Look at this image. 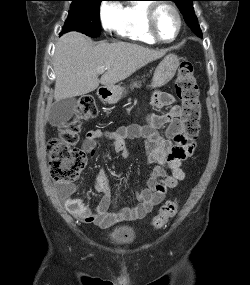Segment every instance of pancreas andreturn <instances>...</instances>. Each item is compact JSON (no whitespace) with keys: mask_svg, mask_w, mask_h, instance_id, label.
I'll return each instance as SVG.
<instances>
[{"mask_svg":"<svg viewBox=\"0 0 250 285\" xmlns=\"http://www.w3.org/2000/svg\"><path fill=\"white\" fill-rule=\"evenodd\" d=\"M140 86V82H133L132 84H131V87H139Z\"/></svg>","mask_w":250,"mask_h":285,"instance_id":"pancreas-1","label":"pancreas"}]
</instances>
